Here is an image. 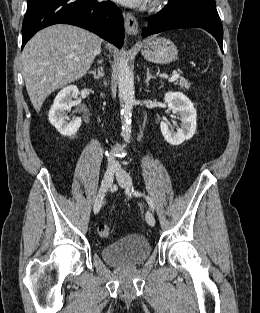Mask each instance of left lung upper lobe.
I'll list each match as a JSON object with an SVG mask.
<instances>
[{
  "label": "left lung upper lobe",
  "mask_w": 260,
  "mask_h": 313,
  "mask_svg": "<svg viewBox=\"0 0 260 313\" xmlns=\"http://www.w3.org/2000/svg\"><path fill=\"white\" fill-rule=\"evenodd\" d=\"M183 4H202L210 7H216L215 0H171Z\"/></svg>",
  "instance_id": "5c2ea615"
}]
</instances>
